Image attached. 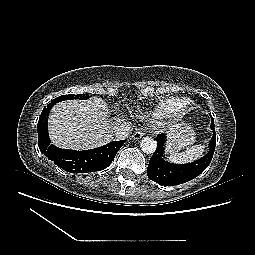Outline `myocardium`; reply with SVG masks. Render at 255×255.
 <instances>
[{
	"label": "myocardium",
	"mask_w": 255,
	"mask_h": 255,
	"mask_svg": "<svg viewBox=\"0 0 255 255\" xmlns=\"http://www.w3.org/2000/svg\"><path fill=\"white\" fill-rule=\"evenodd\" d=\"M184 109H175L174 110V115L168 118H172V117H177L180 118L183 114Z\"/></svg>",
	"instance_id": "f54148a6"
}]
</instances>
